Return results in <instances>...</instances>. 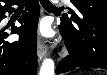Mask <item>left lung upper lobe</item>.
Listing matches in <instances>:
<instances>
[{"label": "left lung upper lobe", "instance_id": "left-lung-upper-lobe-1", "mask_svg": "<svg viewBox=\"0 0 107 75\" xmlns=\"http://www.w3.org/2000/svg\"><path fill=\"white\" fill-rule=\"evenodd\" d=\"M76 3V11H70L71 16L64 14L61 18V24H63L68 30H70L76 37L81 36L85 42L80 41L86 47L83 49L85 53H89L91 50L90 44L86 41L80 31V25L82 24V18H94L99 16L107 17V1L106 0H74Z\"/></svg>", "mask_w": 107, "mask_h": 75}]
</instances>
